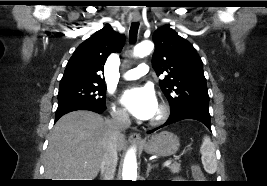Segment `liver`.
Wrapping results in <instances>:
<instances>
[{
    "label": "liver",
    "instance_id": "liver-1",
    "mask_svg": "<svg viewBox=\"0 0 267 186\" xmlns=\"http://www.w3.org/2000/svg\"><path fill=\"white\" fill-rule=\"evenodd\" d=\"M91 111L61 117L49 137L44 167L52 180H93L99 173L108 135V122ZM125 137L118 139L122 150Z\"/></svg>",
    "mask_w": 267,
    "mask_h": 186
}]
</instances>
